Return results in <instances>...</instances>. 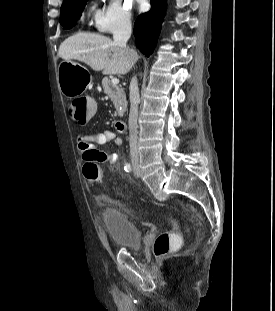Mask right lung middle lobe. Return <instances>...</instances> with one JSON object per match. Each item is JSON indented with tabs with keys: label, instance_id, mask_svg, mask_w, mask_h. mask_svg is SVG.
<instances>
[{
	"label": "right lung middle lobe",
	"instance_id": "obj_1",
	"mask_svg": "<svg viewBox=\"0 0 275 311\" xmlns=\"http://www.w3.org/2000/svg\"><path fill=\"white\" fill-rule=\"evenodd\" d=\"M87 0H65L61 6L60 24L69 29L73 27L83 11Z\"/></svg>",
	"mask_w": 275,
	"mask_h": 311
}]
</instances>
